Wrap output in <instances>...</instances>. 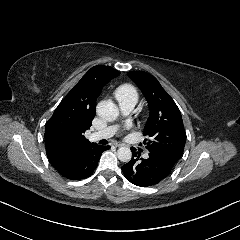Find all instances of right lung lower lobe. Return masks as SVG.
<instances>
[{
    "label": "right lung lower lobe",
    "mask_w": 240,
    "mask_h": 240,
    "mask_svg": "<svg viewBox=\"0 0 240 240\" xmlns=\"http://www.w3.org/2000/svg\"><path fill=\"white\" fill-rule=\"evenodd\" d=\"M110 146H90L76 154L49 158L55 170L64 178L81 180L89 177L98 165L101 154Z\"/></svg>",
    "instance_id": "1"
}]
</instances>
